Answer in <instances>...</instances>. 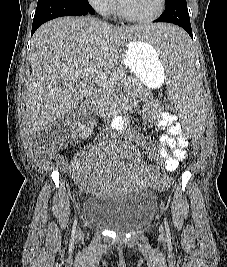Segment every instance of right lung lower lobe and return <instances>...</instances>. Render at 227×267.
I'll return each instance as SVG.
<instances>
[{
    "label": "right lung lower lobe",
    "instance_id": "right-lung-lower-lobe-1",
    "mask_svg": "<svg viewBox=\"0 0 227 267\" xmlns=\"http://www.w3.org/2000/svg\"><path fill=\"white\" fill-rule=\"evenodd\" d=\"M88 0H38L31 35L43 23L62 16L94 14Z\"/></svg>",
    "mask_w": 227,
    "mask_h": 267
}]
</instances>
